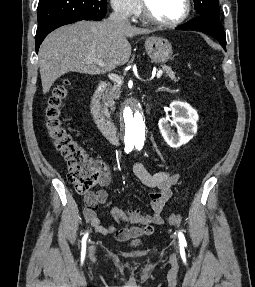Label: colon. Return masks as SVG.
Returning <instances> with one entry per match:
<instances>
[{"instance_id": "5ec220e1", "label": "colon", "mask_w": 255, "mask_h": 287, "mask_svg": "<svg viewBox=\"0 0 255 287\" xmlns=\"http://www.w3.org/2000/svg\"><path fill=\"white\" fill-rule=\"evenodd\" d=\"M67 88V81L53 88L45 109V128L55 148L67 162L68 181L77 192L85 194L98 183L99 169L72 133L64 127L62 107L67 96ZM180 220L178 214L166 216V221L170 225H177Z\"/></svg>"}]
</instances>
